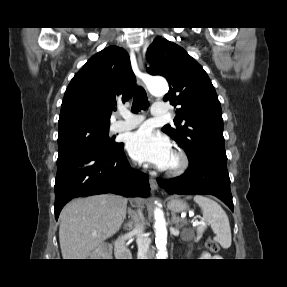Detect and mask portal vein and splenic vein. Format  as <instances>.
Segmentation results:
<instances>
[{"label": "portal vein and splenic vein", "instance_id": "18ae733b", "mask_svg": "<svg viewBox=\"0 0 287 287\" xmlns=\"http://www.w3.org/2000/svg\"><path fill=\"white\" fill-rule=\"evenodd\" d=\"M194 224H205V222L204 221H198V220H196L195 222H194Z\"/></svg>", "mask_w": 287, "mask_h": 287}]
</instances>
